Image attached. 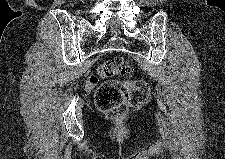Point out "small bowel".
Instances as JSON below:
<instances>
[{"instance_id": "c3829d8e", "label": "small bowel", "mask_w": 225, "mask_h": 159, "mask_svg": "<svg viewBox=\"0 0 225 159\" xmlns=\"http://www.w3.org/2000/svg\"><path fill=\"white\" fill-rule=\"evenodd\" d=\"M97 83V79L95 77H91L89 78L87 81H86V89L87 90H92L94 88V86L96 85Z\"/></svg>"}]
</instances>
